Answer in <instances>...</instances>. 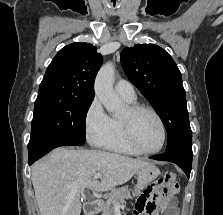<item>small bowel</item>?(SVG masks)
Returning <instances> with one entry per match:
<instances>
[{
  "instance_id": "obj_1",
  "label": "small bowel",
  "mask_w": 223,
  "mask_h": 215,
  "mask_svg": "<svg viewBox=\"0 0 223 215\" xmlns=\"http://www.w3.org/2000/svg\"><path fill=\"white\" fill-rule=\"evenodd\" d=\"M179 187L176 182L165 183L157 180L149 185L138 197L135 205L136 215H160L166 209L164 215H177L175 194Z\"/></svg>"
}]
</instances>
